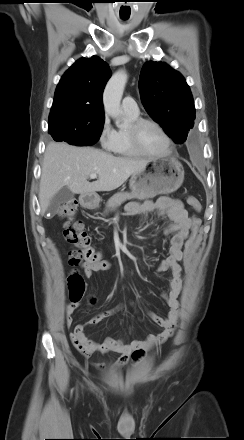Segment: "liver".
I'll return each instance as SVG.
<instances>
[{
  "label": "liver",
  "instance_id": "1",
  "mask_svg": "<svg viewBox=\"0 0 244 440\" xmlns=\"http://www.w3.org/2000/svg\"><path fill=\"white\" fill-rule=\"evenodd\" d=\"M149 160L115 157L93 147H76L66 143L48 144L45 150L39 188L41 213L63 187L75 194L89 195L119 188ZM97 174L98 180L88 177Z\"/></svg>",
  "mask_w": 244,
  "mask_h": 440
}]
</instances>
